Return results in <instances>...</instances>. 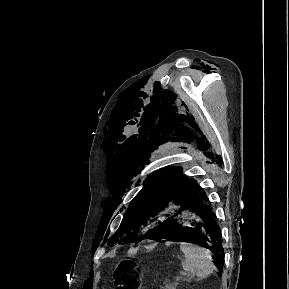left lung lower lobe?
Returning <instances> with one entry per match:
<instances>
[{"mask_svg":"<svg viewBox=\"0 0 289 289\" xmlns=\"http://www.w3.org/2000/svg\"><path fill=\"white\" fill-rule=\"evenodd\" d=\"M174 214L149 239L192 237L194 243L214 252L219 272L223 269L221 231L205 191L199 186H186L170 204L169 215Z\"/></svg>","mask_w":289,"mask_h":289,"instance_id":"1","label":"left lung lower lobe"}]
</instances>
